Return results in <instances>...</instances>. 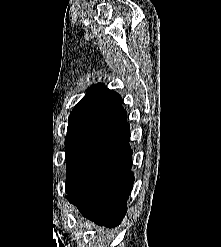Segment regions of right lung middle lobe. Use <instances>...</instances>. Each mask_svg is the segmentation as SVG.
Listing matches in <instances>:
<instances>
[{"instance_id":"obj_1","label":"right lung middle lobe","mask_w":221,"mask_h":247,"mask_svg":"<svg viewBox=\"0 0 221 247\" xmlns=\"http://www.w3.org/2000/svg\"><path fill=\"white\" fill-rule=\"evenodd\" d=\"M80 132L81 130L79 129H68L65 137V145L67 146Z\"/></svg>"}]
</instances>
